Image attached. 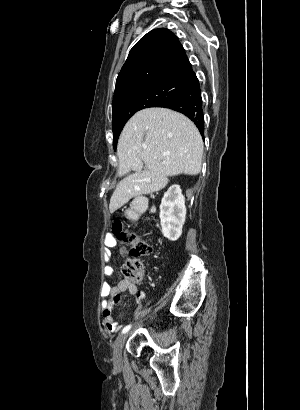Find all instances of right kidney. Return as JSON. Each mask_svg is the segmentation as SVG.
<instances>
[{
	"label": "right kidney",
	"instance_id": "obj_1",
	"mask_svg": "<svg viewBox=\"0 0 300 410\" xmlns=\"http://www.w3.org/2000/svg\"><path fill=\"white\" fill-rule=\"evenodd\" d=\"M159 216L164 237L176 241L182 234L186 217L185 198L179 185L170 186L164 193Z\"/></svg>",
	"mask_w": 300,
	"mask_h": 410
}]
</instances>
